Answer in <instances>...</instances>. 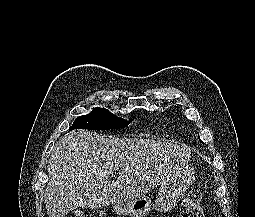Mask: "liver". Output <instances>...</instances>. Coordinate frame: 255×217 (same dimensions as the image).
I'll use <instances>...</instances> for the list:
<instances>
[{"mask_svg":"<svg viewBox=\"0 0 255 217\" xmlns=\"http://www.w3.org/2000/svg\"><path fill=\"white\" fill-rule=\"evenodd\" d=\"M190 158L191 149L183 144L68 132L56 142L48 161V217L140 198ZM114 171L119 176L111 182Z\"/></svg>","mask_w":255,"mask_h":217,"instance_id":"obj_1","label":"liver"}]
</instances>
